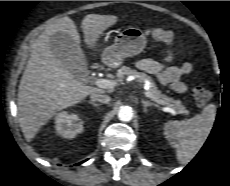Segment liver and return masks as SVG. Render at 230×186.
<instances>
[{
	"instance_id": "obj_1",
	"label": "liver",
	"mask_w": 230,
	"mask_h": 186,
	"mask_svg": "<svg viewBox=\"0 0 230 186\" xmlns=\"http://www.w3.org/2000/svg\"><path fill=\"white\" fill-rule=\"evenodd\" d=\"M117 21L114 15H86L81 28L88 47L95 48L98 38ZM58 32L67 34L80 48V35L69 17L47 26L32 44L31 56L19 84L17 103L18 121L28 142L58 111L80 103L92 93L105 92L75 79L69 68L56 58L50 40Z\"/></svg>"
}]
</instances>
